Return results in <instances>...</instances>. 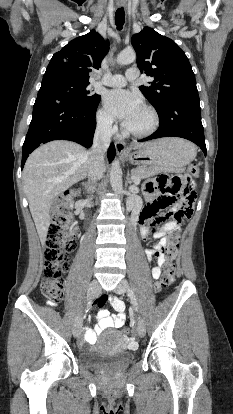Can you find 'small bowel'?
Segmentation results:
<instances>
[{
	"mask_svg": "<svg viewBox=\"0 0 233 414\" xmlns=\"http://www.w3.org/2000/svg\"><path fill=\"white\" fill-rule=\"evenodd\" d=\"M152 204L148 205L140 212L141 203L137 200L135 201L134 213L135 216L139 218L140 235L142 239L146 241L151 238L159 239L155 248L146 250L148 259L155 258L157 260V266L152 269V275L155 279H158L161 275V267L166 263V257L163 254L167 239L166 236L170 233L179 231L181 224L174 217L176 209H172L167 213L157 216L151 211ZM107 302L116 311V314H111L104 308ZM49 304L55 306L54 302L50 301ZM93 307H99L98 323L93 328L87 326L84 329L83 338L88 344H93L96 340V336L102 330L107 328H120L126 321L125 304L116 296L102 295L93 302ZM127 310L133 311L134 305L128 304Z\"/></svg>",
	"mask_w": 233,
	"mask_h": 414,
	"instance_id": "1",
	"label": "small bowel"
}]
</instances>
